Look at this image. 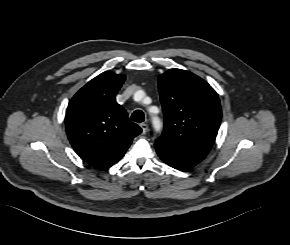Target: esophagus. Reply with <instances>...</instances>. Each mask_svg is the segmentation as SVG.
<instances>
[{
    "label": "esophagus",
    "instance_id": "esophagus-1",
    "mask_svg": "<svg viewBox=\"0 0 290 245\" xmlns=\"http://www.w3.org/2000/svg\"><path fill=\"white\" fill-rule=\"evenodd\" d=\"M140 127L142 128L143 134H146L148 132V125L146 123H141Z\"/></svg>",
    "mask_w": 290,
    "mask_h": 245
}]
</instances>
